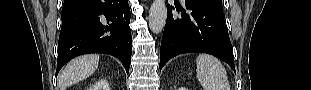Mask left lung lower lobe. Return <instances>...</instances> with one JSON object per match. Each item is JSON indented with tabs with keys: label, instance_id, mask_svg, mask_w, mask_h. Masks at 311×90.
Instances as JSON below:
<instances>
[{
	"label": "left lung lower lobe",
	"instance_id": "1",
	"mask_svg": "<svg viewBox=\"0 0 311 90\" xmlns=\"http://www.w3.org/2000/svg\"><path fill=\"white\" fill-rule=\"evenodd\" d=\"M183 16L172 14L167 6V21L160 49V70L173 57L183 53L202 52L225 61L235 71L233 49L224 23V13L195 0H185Z\"/></svg>",
	"mask_w": 311,
	"mask_h": 90
}]
</instances>
